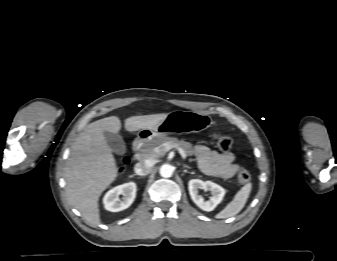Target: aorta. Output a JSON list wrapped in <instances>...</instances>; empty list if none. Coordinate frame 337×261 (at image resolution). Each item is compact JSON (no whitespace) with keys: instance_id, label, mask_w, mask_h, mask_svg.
<instances>
[{"instance_id":"762f6f07","label":"aorta","mask_w":337,"mask_h":261,"mask_svg":"<svg viewBox=\"0 0 337 261\" xmlns=\"http://www.w3.org/2000/svg\"><path fill=\"white\" fill-rule=\"evenodd\" d=\"M173 174V167L169 164H164L160 167V175L162 177L168 178Z\"/></svg>"}]
</instances>
